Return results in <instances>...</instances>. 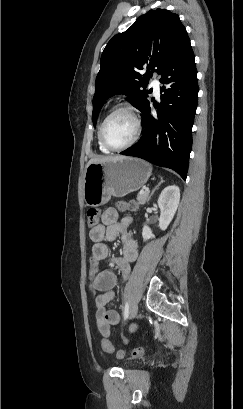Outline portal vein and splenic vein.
I'll return each mask as SVG.
<instances>
[{
  "label": "portal vein and splenic vein",
  "instance_id": "portal-vein-and-splenic-vein-1",
  "mask_svg": "<svg viewBox=\"0 0 243 409\" xmlns=\"http://www.w3.org/2000/svg\"><path fill=\"white\" fill-rule=\"evenodd\" d=\"M145 191L149 192V189H148V188H146V190H145Z\"/></svg>",
  "mask_w": 243,
  "mask_h": 409
}]
</instances>
